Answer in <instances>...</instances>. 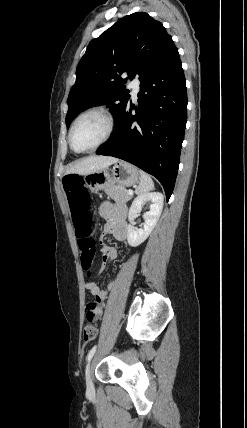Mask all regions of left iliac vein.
Returning a JSON list of instances; mask_svg holds the SVG:
<instances>
[{"label": "left iliac vein", "instance_id": "left-iliac-vein-1", "mask_svg": "<svg viewBox=\"0 0 247 428\" xmlns=\"http://www.w3.org/2000/svg\"><path fill=\"white\" fill-rule=\"evenodd\" d=\"M86 384H87V388L89 390L93 389V383H92V379H91V365H90V363L87 365V368H86Z\"/></svg>", "mask_w": 247, "mask_h": 428}]
</instances>
